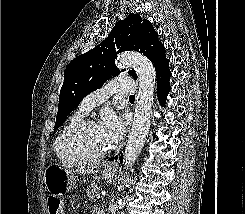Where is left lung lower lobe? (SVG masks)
Returning a JSON list of instances; mask_svg holds the SVG:
<instances>
[{"mask_svg":"<svg viewBox=\"0 0 245 214\" xmlns=\"http://www.w3.org/2000/svg\"><path fill=\"white\" fill-rule=\"evenodd\" d=\"M171 77V72L169 70V66L166 67L158 76H157V96L158 100L160 101V104L162 106L165 105V100L167 98V94L170 91V84L169 79ZM117 160L118 156H115L113 158H110L109 160ZM122 154L119 158L120 162H122Z\"/></svg>","mask_w":245,"mask_h":214,"instance_id":"0a47b994","label":"left lung lower lobe"}]
</instances>
